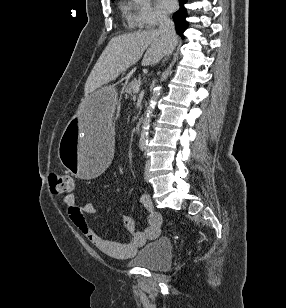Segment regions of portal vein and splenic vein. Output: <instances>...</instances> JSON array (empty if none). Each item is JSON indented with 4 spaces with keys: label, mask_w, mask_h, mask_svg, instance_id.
Masks as SVG:
<instances>
[{
    "label": "portal vein and splenic vein",
    "mask_w": 286,
    "mask_h": 308,
    "mask_svg": "<svg viewBox=\"0 0 286 308\" xmlns=\"http://www.w3.org/2000/svg\"><path fill=\"white\" fill-rule=\"evenodd\" d=\"M134 92H135V93H138V92H139V85H137V86L135 87Z\"/></svg>",
    "instance_id": "portal-vein-and-splenic-vein-1"
}]
</instances>
